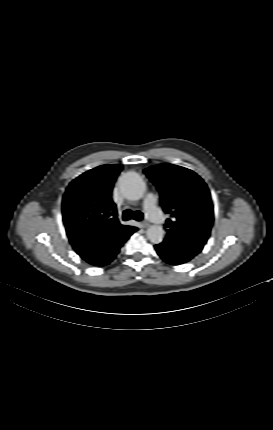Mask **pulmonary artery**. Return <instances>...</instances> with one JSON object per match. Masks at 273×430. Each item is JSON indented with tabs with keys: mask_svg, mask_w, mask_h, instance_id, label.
Segmentation results:
<instances>
[{
	"mask_svg": "<svg viewBox=\"0 0 273 430\" xmlns=\"http://www.w3.org/2000/svg\"><path fill=\"white\" fill-rule=\"evenodd\" d=\"M157 197L153 193H149L144 201V207L147 215L154 220L156 223H162L163 214L156 205Z\"/></svg>",
	"mask_w": 273,
	"mask_h": 430,
	"instance_id": "e3ab8cb5",
	"label": "pulmonary artery"
}]
</instances>
